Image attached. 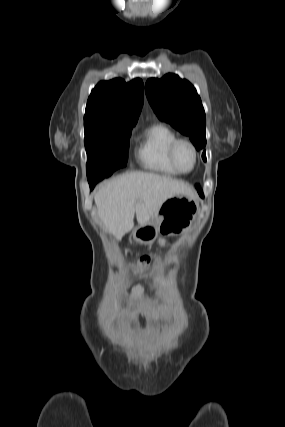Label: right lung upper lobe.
Here are the masks:
<instances>
[{
	"label": "right lung upper lobe",
	"instance_id": "obj_1",
	"mask_svg": "<svg viewBox=\"0 0 285 427\" xmlns=\"http://www.w3.org/2000/svg\"><path fill=\"white\" fill-rule=\"evenodd\" d=\"M143 98V82L139 78L129 83L120 78L101 81L88 98L84 125H135L143 105Z\"/></svg>",
	"mask_w": 285,
	"mask_h": 427
}]
</instances>
